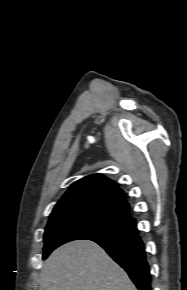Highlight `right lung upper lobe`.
Wrapping results in <instances>:
<instances>
[{
  "mask_svg": "<svg viewBox=\"0 0 187 290\" xmlns=\"http://www.w3.org/2000/svg\"><path fill=\"white\" fill-rule=\"evenodd\" d=\"M80 207H97L113 211L135 225L129 216V204L124 192L102 174L86 176L74 182L55 205L52 214Z\"/></svg>",
  "mask_w": 187,
  "mask_h": 290,
  "instance_id": "obj_1",
  "label": "right lung upper lobe"
}]
</instances>
